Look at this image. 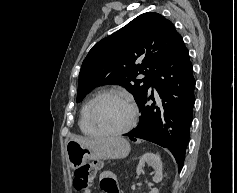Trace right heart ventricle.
Instances as JSON below:
<instances>
[{"label": "right heart ventricle", "mask_w": 237, "mask_h": 193, "mask_svg": "<svg viewBox=\"0 0 237 193\" xmlns=\"http://www.w3.org/2000/svg\"><path fill=\"white\" fill-rule=\"evenodd\" d=\"M92 100L93 98L86 101L81 109L80 118H79V127H80V130L87 136H99L94 131V129L90 126L88 122V118H87L88 108Z\"/></svg>", "instance_id": "obj_1"}]
</instances>
